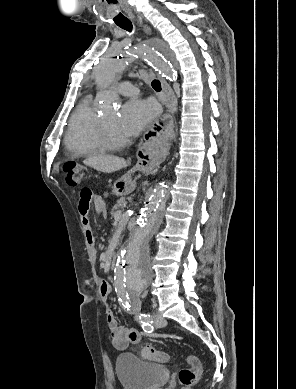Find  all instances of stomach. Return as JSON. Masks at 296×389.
<instances>
[{"mask_svg":"<svg viewBox=\"0 0 296 389\" xmlns=\"http://www.w3.org/2000/svg\"><path fill=\"white\" fill-rule=\"evenodd\" d=\"M151 173V169H140L137 173L131 171L129 173L130 179L127 177H122L116 181L113 186V193L117 196H122L130 192L134 186V183L137 181V176L139 179H142L144 176H148Z\"/></svg>","mask_w":296,"mask_h":389,"instance_id":"stomach-1","label":"stomach"}]
</instances>
